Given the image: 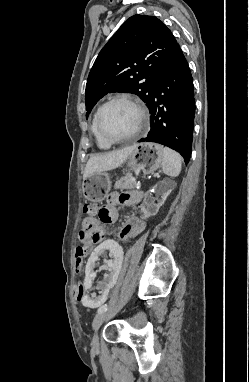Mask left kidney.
Instances as JSON below:
<instances>
[{
  "label": "left kidney",
  "instance_id": "obj_1",
  "mask_svg": "<svg viewBox=\"0 0 249 382\" xmlns=\"http://www.w3.org/2000/svg\"><path fill=\"white\" fill-rule=\"evenodd\" d=\"M175 187L176 182L171 179H163L156 185H152L148 196L145 197V201L140 202V207L156 208L157 212ZM118 244V240L113 238L111 240H102L101 245L92 250V254L85 266V275L81 279L86 291V295H82L79 301L83 309L103 307L106 298H108V293L112 291L111 287L117 286L116 277L121 272L125 255L123 245ZM101 257H112L113 260L101 262ZM101 273L104 274L103 280H99ZM93 281H96V289L91 291Z\"/></svg>",
  "mask_w": 249,
  "mask_h": 382
}]
</instances>
